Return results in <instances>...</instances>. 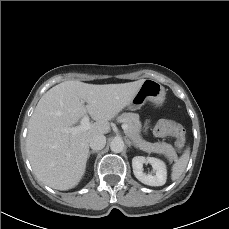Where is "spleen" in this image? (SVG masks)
I'll return each instance as SVG.
<instances>
[{"instance_id":"obj_1","label":"spleen","mask_w":229,"mask_h":229,"mask_svg":"<svg viewBox=\"0 0 229 229\" xmlns=\"http://www.w3.org/2000/svg\"><path fill=\"white\" fill-rule=\"evenodd\" d=\"M189 156H190V149L187 148L182 156L175 161V163L172 166V173H171V179L173 181L177 180L180 178V176L183 174L185 171V168L188 164L189 161Z\"/></svg>"}]
</instances>
